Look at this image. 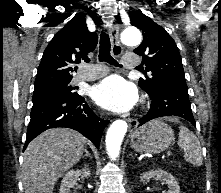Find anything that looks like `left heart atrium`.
Here are the masks:
<instances>
[{
	"mask_svg": "<svg viewBox=\"0 0 221 193\" xmlns=\"http://www.w3.org/2000/svg\"><path fill=\"white\" fill-rule=\"evenodd\" d=\"M92 98L100 107L114 113L131 110L137 102L135 87L121 76H110L92 90Z\"/></svg>",
	"mask_w": 221,
	"mask_h": 193,
	"instance_id": "left-heart-atrium-1",
	"label": "left heart atrium"
}]
</instances>
